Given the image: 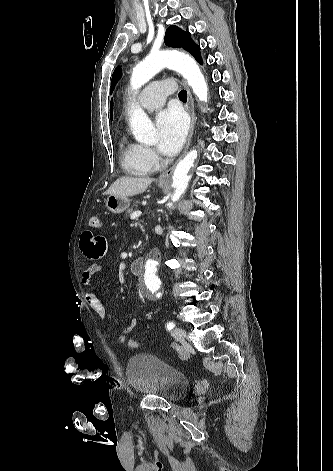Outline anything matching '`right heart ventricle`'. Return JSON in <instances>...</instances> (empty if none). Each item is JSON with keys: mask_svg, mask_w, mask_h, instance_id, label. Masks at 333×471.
<instances>
[{"mask_svg": "<svg viewBox=\"0 0 333 471\" xmlns=\"http://www.w3.org/2000/svg\"><path fill=\"white\" fill-rule=\"evenodd\" d=\"M120 155L123 168L131 175H147L153 169L143 157V146L129 141L126 136L120 139Z\"/></svg>", "mask_w": 333, "mask_h": 471, "instance_id": "e07e8e85", "label": "right heart ventricle"}]
</instances>
